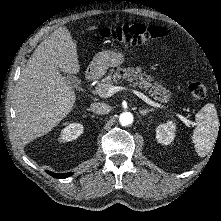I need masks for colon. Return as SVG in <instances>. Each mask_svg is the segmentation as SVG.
Returning <instances> with one entry per match:
<instances>
[{"mask_svg": "<svg viewBox=\"0 0 221 221\" xmlns=\"http://www.w3.org/2000/svg\"><path fill=\"white\" fill-rule=\"evenodd\" d=\"M165 29L160 26H147L144 24L122 25L114 28H105L99 32V36L125 46H137L146 44L152 40L165 36ZM190 94L196 99L206 97L207 88L201 81H193L188 86Z\"/></svg>", "mask_w": 221, "mask_h": 221, "instance_id": "obj_1", "label": "colon"}]
</instances>
